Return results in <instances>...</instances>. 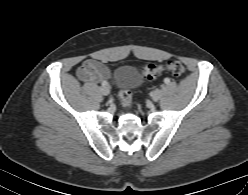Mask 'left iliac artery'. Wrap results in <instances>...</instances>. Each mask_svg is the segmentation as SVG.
<instances>
[{"label":"left iliac artery","mask_w":248,"mask_h":195,"mask_svg":"<svg viewBox=\"0 0 248 195\" xmlns=\"http://www.w3.org/2000/svg\"><path fill=\"white\" fill-rule=\"evenodd\" d=\"M164 82H165L166 84H168V83L170 82V80H169L168 78H166V79L164 80Z\"/></svg>","instance_id":"1"}]
</instances>
